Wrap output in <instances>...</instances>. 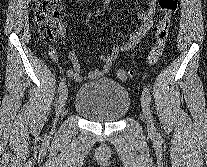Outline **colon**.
<instances>
[{
    "mask_svg": "<svg viewBox=\"0 0 207 167\" xmlns=\"http://www.w3.org/2000/svg\"><path fill=\"white\" fill-rule=\"evenodd\" d=\"M34 16L39 26V32L46 43H53L60 36L61 21L59 16L60 0H35ZM159 9L162 14L158 21L154 36L155 43L147 56V63L154 65L161 57L171 29L172 17L178 10V0H158ZM134 72L128 69H120L117 77L128 80L133 77Z\"/></svg>",
    "mask_w": 207,
    "mask_h": 167,
    "instance_id": "obj_1",
    "label": "colon"
}]
</instances>
